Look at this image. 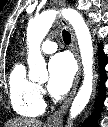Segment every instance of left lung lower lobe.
Returning <instances> with one entry per match:
<instances>
[{"label": "left lung lower lobe", "instance_id": "1", "mask_svg": "<svg viewBox=\"0 0 108 127\" xmlns=\"http://www.w3.org/2000/svg\"><path fill=\"white\" fill-rule=\"evenodd\" d=\"M102 46H99V67H100V71H101V81H100V92H99V96L97 99V104H96V108H95V112L92 115L91 119L86 123V127H92V126H96V119L97 116L100 113V110L102 109L103 106V100L105 97V86H104V82H105V70L104 67L107 63V58L105 57L103 51H102Z\"/></svg>", "mask_w": 108, "mask_h": 127}]
</instances>
